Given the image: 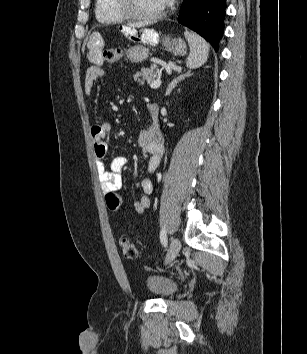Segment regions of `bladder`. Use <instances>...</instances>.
<instances>
[{"label":"bladder","mask_w":307,"mask_h":354,"mask_svg":"<svg viewBox=\"0 0 307 354\" xmlns=\"http://www.w3.org/2000/svg\"><path fill=\"white\" fill-rule=\"evenodd\" d=\"M147 290L158 298H169L178 291L177 283L169 277L160 274H150L145 279Z\"/></svg>","instance_id":"31cf9c89"}]
</instances>
